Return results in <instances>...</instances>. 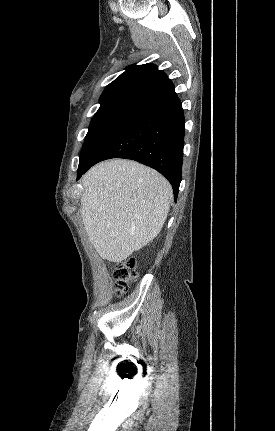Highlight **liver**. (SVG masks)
<instances>
[{
	"instance_id": "6515ba94",
	"label": "liver",
	"mask_w": 275,
	"mask_h": 431,
	"mask_svg": "<svg viewBox=\"0 0 275 431\" xmlns=\"http://www.w3.org/2000/svg\"><path fill=\"white\" fill-rule=\"evenodd\" d=\"M81 217L101 258L121 262L161 231L172 199L170 183L135 161L113 159L82 179Z\"/></svg>"
}]
</instances>
